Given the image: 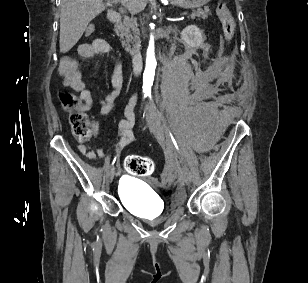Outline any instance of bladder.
Wrapping results in <instances>:
<instances>
[{"mask_svg":"<svg viewBox=\"0 0 308 283\" xmlns=\"http://www.w3.org/2000/svg\"><path fill=\"white\" fill-rule=\"evenodd\" d=\"M118 195L123 205L138 216L157 217L162 212L155 196L141 182L132 178L120 179Z\"/></svg>","mask_w":308,"mask_h":283,"instance_id":"obj_1","label":"bladder"}]
</instances>
